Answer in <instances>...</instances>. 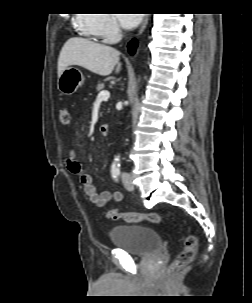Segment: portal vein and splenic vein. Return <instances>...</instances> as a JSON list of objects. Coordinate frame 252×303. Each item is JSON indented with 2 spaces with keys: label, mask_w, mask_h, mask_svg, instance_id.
Returning <instances> with one entry per match:
<instances>
[{
  "label": "portal vein and splenic vein",
  "mask_w": 252,
  "mask_h": 303,
  "mask_svg": "<svg viewBox=\"0 0 252 303\" xmlns=\"http://www.w3.org/2000/svg\"><path fill=\"white\" fill-rule=\"evenodd\" d=\"M110 97V92L107 90H102L100 91V93L98 94L97 98L100 100H107Z\"/></svg>",
  "instance_id": "18ae733b"
}]
</instances>
